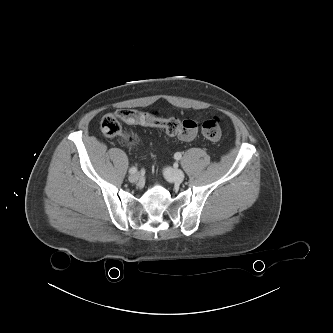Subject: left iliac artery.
<instances>
[{
	"mask_svg": "<svg viewBox=\"0 0 333 333\" xmlns=\"http://www.w3.org/2000/svg\"><path fill=\"white\" fill-rule=\"evenodd\" d=\"M181 157H182V155H181L180 152H177V153H175V155H174V158H175L176 160H180Z\"/></svg>",
	"mask_w": 333,
	"mask_h": 333,
	"instance_id": "1",
	"label": "left iliac artery"
}]
</instances>
